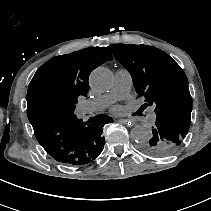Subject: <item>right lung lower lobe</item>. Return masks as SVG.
Returning <instances> with one entry per match:
<instances>
[{"label": "right lung lower lobe", "instance_id": "1", "mask_svg": "<svg viewBox=\"0 0 211 211\" xmlns=\"http://www.w3.org/2000/svg\"><path fill=\"white\" fill-rule=\"evenodd\" d=\"M113 122L107 115L90 117L84 122L75 114L56 116L33 124L35 136L54 160L79 166L92 162L104 148L102 127Z\"/></svg>", "mask_w": 211, "mask_h": 211}]
</instances>
